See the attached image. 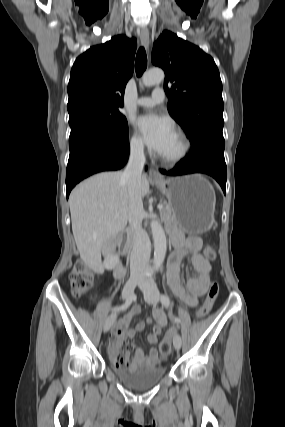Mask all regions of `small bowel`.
I'll list each match as a JSON object with an SVG mask.
<instances>
[{"mask_svg": "<svg viewBox=\"0 0 285 427\" xmlns=\"http://www.w3.org/2000/svg\"><path fill=\"white\" fill-rule=\"evenodd\" d=\"M174 252L171 254L168 267L167 279L169 286L174 294L187 305L194 307L198 304L200 297L204 296L211 284V264L200 254L202 241L199 237L184 238L177 230H171ZM185 256H189L196 273L195 276L187 280V290L180 282V264ZM142 306L134 305L131 310L119 320L113 327L112 335L115 341L109 344V355L111 360L117 366L138 367V366H155L158 364V353L156 348L152 347L146 355L144 351L134 346L132 357L127 353L124 363H118L115 359L117 349L125 344L126 339H133L138 332H141L146 325H152V333L147 336V341L155 345L163 329L167 326L168 320L166 314L155 309L153 318L148 317L140 322L135 328L131 327L132 318L139 314Z\"/></svg>", "mask_w": 285, "mask_h": 427, "instance_id": "1", "label": "small bowel"}]
</instances>
